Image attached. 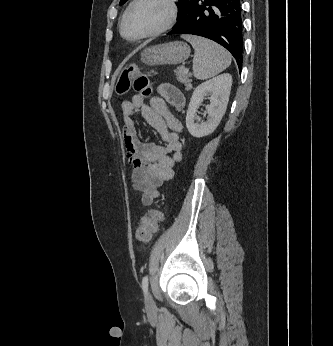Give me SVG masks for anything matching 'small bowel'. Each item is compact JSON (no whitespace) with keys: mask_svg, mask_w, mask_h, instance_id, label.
Returning a JSON list of instances; mask_svg holds the SVG:
<instances>
[{"mask_svg":"<svg viewBox=\"0 0 333 346\" xmlns=\"http://www.w3.org/2000/svg\"><path fill=\"white\" fill-rule=\"evenodd\" d=\"M157 90L159 96L153 97L149 104L141 95H134L121 104L124 144L132 165V185L141 194L144 206L151 205L159 197V188L173 177L175 163L181 159L180 133L183 127L167 103L180 111L185 98L172 84L163 83ZM138 112L160 134L164 146L141 140L133 118Z\"/></svg>","mask_w":333,"mask_h":346,"instance_id":"1","label":"small bowel"}]
</instances>
